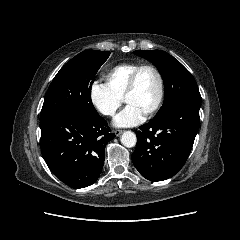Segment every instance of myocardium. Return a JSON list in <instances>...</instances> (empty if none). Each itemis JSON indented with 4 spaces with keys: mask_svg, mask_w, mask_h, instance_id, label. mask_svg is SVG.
<instances>
[{
    "mask_svg": "<svg viewBox=\"0 0 240 240\" xmlns=\"http://www.w3.org/2000/svg\"><path fill=\"white\" fill-rule=\"evenodd\" d=\"M145 69L152 70L155 73L157 80H158L157 98H156L154 104L145 112L146 116H150V115L154 114L160 108L163 98H164V91H165L163 75H162L161 71L155 65H153V64L140 65L130 76V79L128 81V85H127V88H126V91H125L123 97H124V100L126 101L127 96L130 95L136 89L139 75Z\"/></svg>",
    "mask_w": 240,
    "mask_h": 240,
    "instance_id": "myocardium-1",
    "label": "myocardium"
}]
</instances>
